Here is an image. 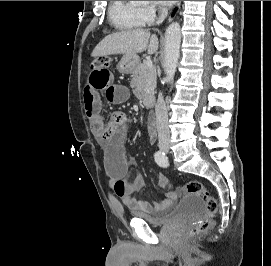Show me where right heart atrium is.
<instances>
[{
    "label": "right heart atrium",
    "mask_w": 271,
    "mask_h": 266,
    "mask_svg": "<svg viewBox=\"0 0 271 266\" xmlns=\"http://www.w3.org/2000/svg\"><path fill=\"white\" fill-rule=\"evenodd\" d=\"M139 12H140V17L142 19V22L144 24H149L153 22L154 19L156 18L158 8L157 6L153 4H148L139 8Z\"/></svg>",
    "instance_id": "right-heart-atrium-1"
}]
</instances>
